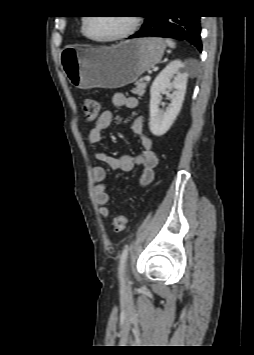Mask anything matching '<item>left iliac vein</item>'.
<instances>
[{
    "mask_svg": "<svg viewBox=\"0 0 254 355\" xmlns=\"http://www.w3.org/2000/svg\"><path fill=\"white\" fill-rule=\"evenodd\" d=\"M124 276H125V279L127 280V269H125V272H124Z\"/></svg>",
    "mask_w": 254,
    "mask_h": 355,
    "instance_id": "1",
    "label": "left iliac vein"
}]
</instances>
